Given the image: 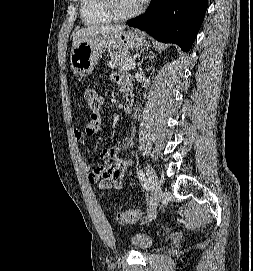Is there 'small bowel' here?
<instances>
[{"label": "small bowel", "mask_w": 253, "mask_h": 271, "mask_svg": "<svg viewBox=\"0 0 253 271\" xmlns=\"http://www.w3.org/2000/svg\"><path fill=\"white\" fill-rule=\"evenodd\" d=\"M115 79L122 84L125 92L132 91V86L126 78L115 76ZM101 128V115H93L84 131L72 128L71 134L74 140L81 141L84 137L96 135L100 132ZM131 146L132 139L129 137L125 138L114 146L106 147L101 151L100 160L103 161V163L87 166L89 180L95 183L99 190L122 188L132 160L130 158H119L118 154Z\"/></svg>", "instance_id": "small-bowel-1"}]
</instances>
